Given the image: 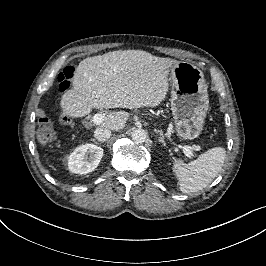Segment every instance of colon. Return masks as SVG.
Wrapping results in <instances>:
<instances>
[{
  "instance_id": "5ec220e1",
  "label": "colon",
  "mask_w": 266,
  "mask_h": 266,
  "mask_svg": "<svg viewBox=\"0 0 266 266\" xmlns=\"http://www.w3.org/2000/svg\"><path fill=\"white\" fill-rule=\"evenodd\" d=\"M75 67L73 65L66 66L59 76L60 89L66 92L70 85L69 82L74 76ZM37 128V138L43 143H49L55 138L54 122L51 117L43 116L38 119ZM204 134L208 135L210 133V127L205 126Z\"/></svg>"
}]
</instances>
